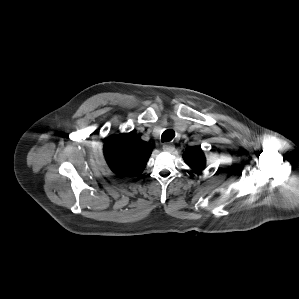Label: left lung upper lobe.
<instances>
[{
	"label": "left lung upper lobe",
	"instance_id": "left-lung-upper-lobe-1",
	"mask_svg": "<svg viewBox=\"0 0 299 299\" xmlns=\"http://www.w3.org/2000/svg\"><path fill=\"white\" fill-rule=\"evenodd\" d=\"M183 158L186 164L197 172L201 171L206 165L204 153L201 150V147L198 146L188 149L184 153Z\"/></svg>",
	"mask_w": 299,
	"mask_h": 299
}]
</instances>
